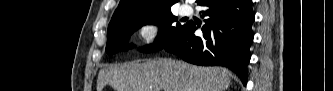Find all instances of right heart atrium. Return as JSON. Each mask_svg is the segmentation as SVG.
I'll list each match as a JSON object with an SVG mask.
<instances>
[{"label":"right heart atrium","instance_id":"obj_1","mask_svg":"<svg viewBox=\"0 0 333 91\" xmlns=\"http://www.w3.org/2000/svg\"><path fill=\"white\" fill-rule=\"evenodd\" d=\"M136 34L141 45L150 49L155 48L163 40V25L157 20L145 21L137 26Z\"/></svg>","mask_w":333,"mask_h":91}]
</instances>
